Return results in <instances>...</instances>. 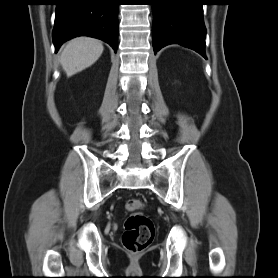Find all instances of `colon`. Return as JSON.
Listing matches in <instances>:
<instances>
[{
  "label": "colon",
  "instance_id": "obj_1",
  "mask_svg": "<svg viewBox=\"0 0 278 278\" xmlns=\"http://www.w3.org/2000/svg\"><path fill=\"white\" fill-rule=\"evenodd\" d=\"M144 206L142 200L129 199L126 208L132 214L126 219L122 242L131 253H139L148 247L154 238V225L145 215L138 213Z\"/></svg>",
  "mask_w": 278,
  "mask_h": 278
}]
</instances>
